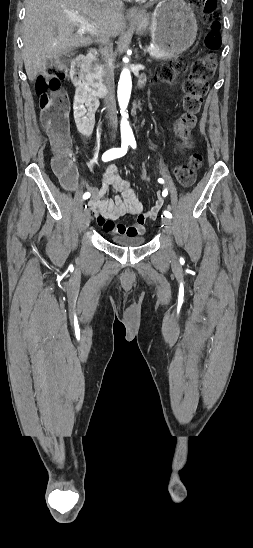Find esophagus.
Returning a JSON list of instances; mask_svg holds the SVG:
<instances>
[{
  "label": "esophagus",
  "instance_id": "esophagus-1",
  "mask_svg": "<svg viewBox=\"0 0 253 548\" xmlns=\"http://www.w3.org/2000/svg\"><path fill=\"white\" fill-rule=\"evenodd\" d=\"M128 15L132 18H136V17H139L140 15V12L138 10V8L136 7H131L129 10H128Z\"/></svg>",
  "mask_w": 253,
  "mask_h": 548
}]
</instances>
